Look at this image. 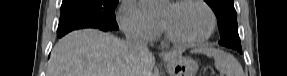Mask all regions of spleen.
<instances>
[{
  "label": "spleen",
  "mask_w": 287,
  "mask_h": 76,
  "mask_svg": "<svg viewBox=\"0 0 287 76\" xmlns=\"http://www.w3.org/2000/svg\"><path fill=\"white\" fill-rule=\"evenodd\" d=\"M194 53H202L208 57H213L215 61V67L225 76H244L243 69L237 59L220 49L213 47H201L195 49Z\"/></svg>",
  "instance_id": "spleen-1"
}]
</instances>
